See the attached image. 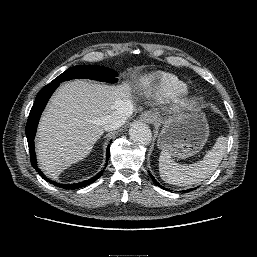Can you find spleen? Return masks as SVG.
Wrapping results in <instances>:
<instances>
[{
    "instance_id": "3e777b00",
    "label": "spleen",
    "mask_w": 257,
    "mask_h": 257,
    "mask_svg": "<svg viewBox=\"0 0 257 257\" xmlns=\"http://www.w3.org/2000/svg\"><path fill=\"white\" fill-rule=\"evenodd\" d=\"M227 139L220 136L204 159L190 165L176 163L167 150H162L159 156V172L166 183L186 186L193 185L208 178L218 167L226 152Z\"/></svg>"
}]
</instances>
